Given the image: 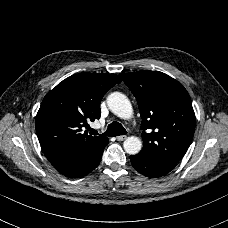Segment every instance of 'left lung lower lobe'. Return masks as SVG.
Here are the masks:
<instances>
[{
    "label": "left lung lower lobe",
    "mask_w": 228,
    "mask_h": 228,
    "mask_svg": "<svg viewBox=\"0 0 228 228\" xmlns=\"http://www.w3.org/2000/svg\"><path fill=\"white\" fill-rule=\"evenodd\" d=\"M130 161L139 173L150 178L166 175L177 165L174 162L154 161L140 154L130 156Z\"/></svg>",
    "instance_id": "obj_1"
}]
</instances>
